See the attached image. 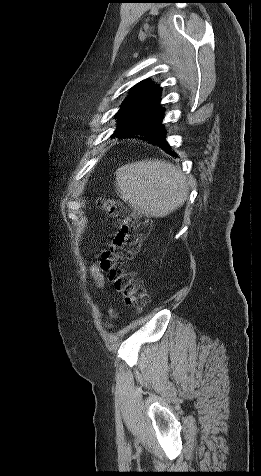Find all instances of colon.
<instances>
[{
    "mask_svg": "<svg viewBox=\"0 0 261 476\" xmlns=\"http://www.w3.org/2000/svg\"><path fill=\"white\" fill-rule=\"evenodd\" d=\"M98 206L117 226L116 233L101 255L100 267L107 272L115 290L123 294L125 303L133 309L142 310L148 302V294L135 282L133 273L123 269V264L139 252L142 240L150 233L149 219L128 210L113 198L99 199ZM109 316L113 317L114 312L110 311Z\"/></svg>",
    "mask_w": 261,
    "mask_h": 476,
    "instance_id": "5ec220e1",
    "label": "colon"
}]
</instances>
